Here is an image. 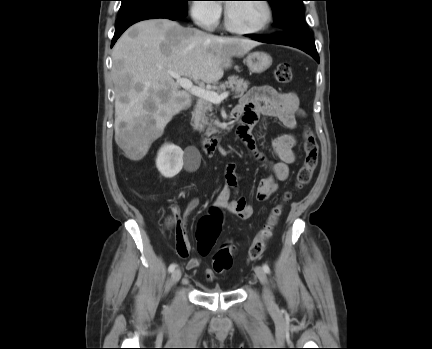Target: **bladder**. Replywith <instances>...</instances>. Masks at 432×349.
Segmentation results:
<instances>
[{"label": "bladder", "instance_id": "bladder-1", "mask_svg": "<svg viewBox=\"0 0 432 349\" xmlns=\"http://www.w3.org/2000/svg\"><path fill=\"white\" fill-rule=\"evenodd\" d=\"M207 291L218 292V291H220V289L219 288H213V289L209 288V289H207Z\"/></svg>", "mask_w": 432, "mask_h": 349}]
</instances>
